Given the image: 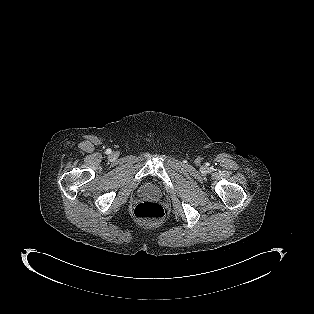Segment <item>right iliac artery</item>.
I'll return each mask as SVG.
<instances>
[{"mask_svg": "<svg viewBox=\"0 0 314 314\" xmlns=\"http://www.w3.org/2000/svg\"><path fill=\"white\" fill-rule=\"evenodd\" d=\"M111 152V150L110 149H107V153L109 154Z\"/></svg>", "mask_w": 314, "mask_h": 314, "instance_id": "1", "label": "right iliac artery"}]
</instances>
